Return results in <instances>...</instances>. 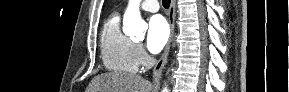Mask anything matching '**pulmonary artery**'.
<instances>
[{
	"label": "pulmonary artery",
	"mask_w": 289,
	"mask_h": 92,
	"mask_svg": "<svg viewBox=\"0 0 289 92\" xmlns=\"http://www.w3.org/2000/svg\"><path fill=\"white\" fill-rule=\"evenodd\" d=\"M141 8L147 12H157L159 9V3L157 0H145L141 3Z\"/></svg>",
	"instance_id": "1"
}]
</instances>
